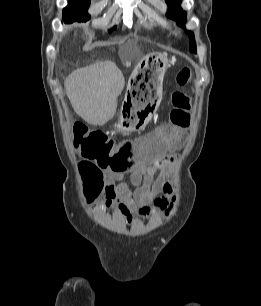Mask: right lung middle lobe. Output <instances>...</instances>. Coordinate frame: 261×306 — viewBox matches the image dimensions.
Masks as SVG:
<instances>
[{
	"mask_svg": "<svg viewBox=\"0 0 261 306\" xmlns=\"http://www.w3.org/2000/svg\"><path fill=\"white\" fill-rule=\"evenodd\" d=\"M90 5V0H76L74 2H69L68 6L63 9V20L65 23H71L73 21L86 22L89 20L90 16L87 10ZM116 29L113 27L109 32Z\"/></svg>",
	"mask_w": 261,
	"mask_h": 306,
	"instance_id": "right-lung-middle-lobe-1",
	"label": "right lung middle lobe"
}]
</instances>
